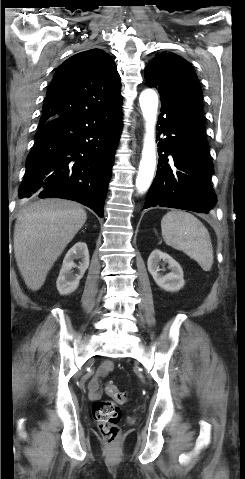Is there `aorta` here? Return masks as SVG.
Returning <instances> with one entry per match:
<instances>
[{
    "mask_svg": "<svg viewBox=\"0 0 245 479\" xmlns=\"http://www.w3.org/2000/svg\"><path fill=\"white\" fill-rule=\"evenodd\" d=\"M140 107L145 119V136L142 150V159L136 178V188L144 193L150 187L156 166L155 151V124L158 108V96L151 89L144 90L139 97Z\"/></svg>",
    "mask_w": 245,
    "mask_h": 479,
    "instance_id": "1",
    "label": "aorta"
}]
</instances>
